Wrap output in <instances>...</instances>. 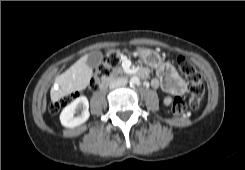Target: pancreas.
<instances>
[{"label": "pancreas", "instance_id": "1", "mask_svg": "<svg viewBox=\"0 0 245 170\" xmlns=\"http://www.w3.org/2000/svg\"><path fill=\"white\" fill-rule=\"evenodd\" d=\"M122 73H123L122 68L118 67V68H116V69L110 74V77L113 78V77L117 76L118 74H122Z\"/></svg>", "mask_w": 245, "mask_h": 170}]
</instances>
